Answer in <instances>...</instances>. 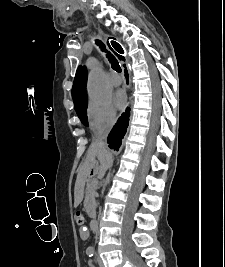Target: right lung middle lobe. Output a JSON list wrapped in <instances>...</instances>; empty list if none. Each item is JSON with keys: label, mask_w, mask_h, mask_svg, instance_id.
Returning a JSON list of instances; mask_svg holds the SVG:
<instances>
[{"label": "right lung middle lobe", "mask_w": 225, "mask_h": 267, "mask_svg": "<svg viewBox=\"0 0 225 267\" xmlns=\"http://www.w3.org/2000/svg\"><path fill=\"white\" fill-rule=\"evenodd\" d=\"M75 110L81 122L85 126H88L87 111H86L87 110V99H85L78 106H76Z\"/></svg>", "instance_id": "1"}]
</instances>
